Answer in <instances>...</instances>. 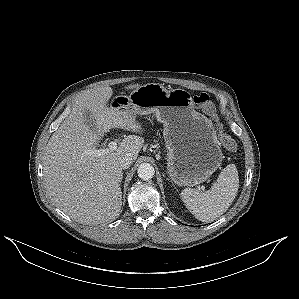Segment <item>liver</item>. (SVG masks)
Listing matches in <instances>:
<instances>
[{
    "instance_id": "obj_1",
    "label": "liver",
    "mask_w": 299,
    "mask_h": 299,
    "mask_svg": "<svg viewBox=\"0 0 299 299\" xmlns=\"http://www.w3.org/2000/svg\"><path fill=\"white\" fill-rule=\"evenodd\" d=\"M112 94V88L106 86L76 96L71 113L51 136L42 161L51 200L73 220L87 225L110 222L119 215L123 173L118 160L125 154L135 160L144 143L141 136L133 134L126 136L114 151L99 157L89 154L110 129L142 132L133 113L107 106ZM86 110L96 120L95 131L84 122Z\"/></svg>"
}]
</instances>
